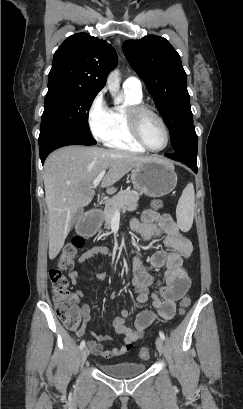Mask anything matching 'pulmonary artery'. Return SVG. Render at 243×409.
<instances>
[{
  "label": "pulmonary artery",
  "mask_w": 243,
  "mask_h": 409,
  "mask_svg": "<svg viewBox=\"0 0 243 409\" xmlns=\"http://www.w3.org/2000/svg\"><path fill=\"white\" fill-rule=\"evenodd\" d=\"M123 89L136 93V94H142V84L139 78L131 76L126 78L123 81Z\"/></svg>",
  "instance_id": "e3ab8cb5"
}]
</instances>
